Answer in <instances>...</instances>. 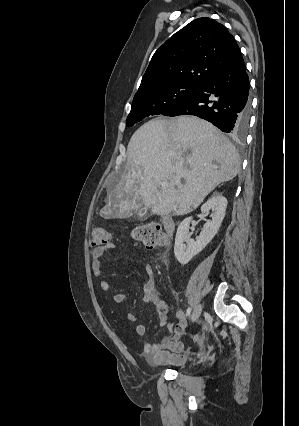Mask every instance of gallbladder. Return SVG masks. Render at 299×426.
I'll use <instances>...</instances> for the list:
<instances>
[{"mask_svg": "<svg viewBox=\"0 0 299 426\" xmlns=\"http://www.w3.org/2000/svg\"><path fill=\"white\" fill-rule=\"evenodd\" d=\"M138 215H139L141 220H145L148 217L149 214L147 212V209L142 208V209L139 210Z\"/></svg>", "mask_w": 299, "mask_h": 426, "instance_id": "bac80fb5", "label": "gallbladder"}]
</instances>
